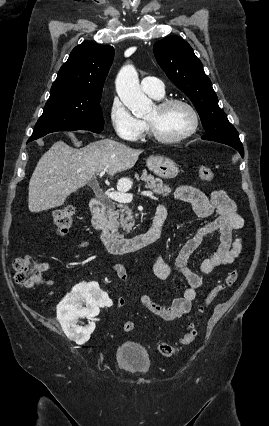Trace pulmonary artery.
<instances>
[{"mask_svg":"<svg viewBox=\"0 0 269 426\" xmlns=\"http://www.w3.org/2000/svg\"><path fill=\"white\" fill-rule=\"evenodd\" d=\"M141 87L144 92L154 98H161L165 93L163 82L155 77H144L141 80Z\"/></svg>","mask_w":269,"mask_h":426,"instance_id":"obj_1","label":"pulmonary artery"}]
</instances>
